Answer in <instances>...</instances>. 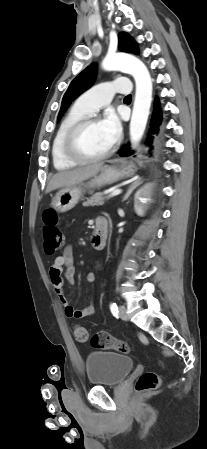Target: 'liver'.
<instances>
[{
	"instance_id": "6515ba94",
	"label": "liver",
	"mask_w": 207,
	"mask_h": 449,
	"mask_svg": "<svg viewBox=\"0 0 207 449\" xmlns=\"http://www.w3.org/2000/svg\"><path fill=\"white\" fill-rule=\"evenodd\" d=\"M102 169V164L88 165L69 171H62L55 174L49 181L46 193L63 187H70L87 180Z\"/></svg>"
}]
</instances>
